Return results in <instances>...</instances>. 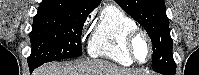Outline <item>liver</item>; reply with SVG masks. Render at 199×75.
Returning <instances> with one entry per match:
<instances>
[{"label": "liver", "instance_id": "obj_1", "mask_svg": "<svg viewBox=\"0 0 199 75\" xmlns=\"http://www.w3.org/2000/svg\"><path fill=\"white\" fill-rule=\"evenodd\" d=\"M33 75H138V72L103 60H78L48 63L36 69Z\"/></svg>", "mask_w": 199, "mask_h": 75}]
</instances>
